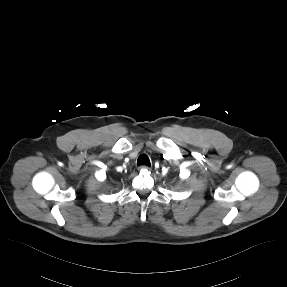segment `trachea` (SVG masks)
Here are the masks:
<instances>
[{"instance_id":"1","label":"trachea","mask_w":287,"mask_h":287,"mask_svg":"<svg viewBox=\"0 0 287 287\" xmlns=\"http://www.w3.org/2000/svg\"><path fill=\"white\" fill-rule=\"evenodd\" d=\"M137 165H147V166H151L150 160L146 155H140L138 160H137Z\"/></svg>"}]
</instances>
